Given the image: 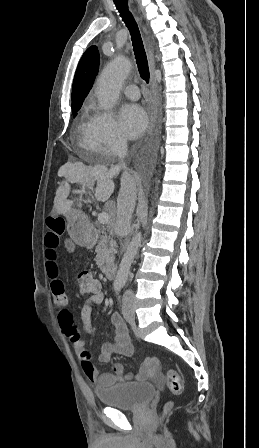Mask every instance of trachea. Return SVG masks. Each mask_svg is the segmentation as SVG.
I'll list each match as a JSON object with an SVG mask.
<instances>
[{
  "mask_svg": "<svg viewBox=\"0 0 259 448\" xmlns=\"http://www.w3.org/2000/svg\"><path fill=\"white\" fill-rule=\"evenodd\" d=\"M113 1L120 12L122 19L124 20L126 26L130 31L133 51L135 53L136 63L139 69L140 76L146 83H149L150 72L146 52L144 49L138 25L135 22L131 12H129L128 10L127 5L128 0H113Z\"/></svg>",
  "mask_w": 259,
  "mask_h": 448,
  "instance_id": "3493384b",
  "label": "trachea"
}]
</instances>
